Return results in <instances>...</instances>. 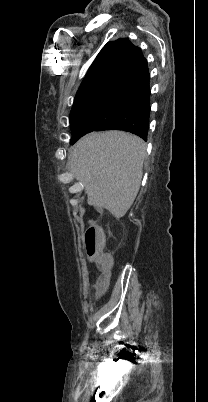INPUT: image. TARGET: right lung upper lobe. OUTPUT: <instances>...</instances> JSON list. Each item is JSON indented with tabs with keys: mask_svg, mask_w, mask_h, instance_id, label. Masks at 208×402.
I'll return each instance as SVG.
<instances>
[{
	"mask_svg": "<svg viewBox=\"0 0 208 402\" xmlns=\"http://www.w3.org/2000/svg\"><path fill=\"white\" fill-rule=\"evenodd\" d=\"M139 51L126 38L108 42L90 66L76 97L102 84L110 85Z\"/></svg>",
	"mask_w": 208,
	"mask_h": 402,
	"instance_id": "right-lung-upper-lobe-1",
	"label": "right lung upper lobe"
}]
</instances>
